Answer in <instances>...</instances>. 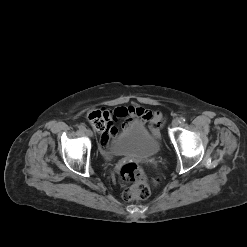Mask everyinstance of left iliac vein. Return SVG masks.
<instances>
[{"label":"left iliac vein","mask_w":247,"mask_h":247,"mask_svg":"<svg viewBox=\"0 0 247 247\" xmlns=\"http://www.w3.org/2000/svg\"><path fill=\"white\" fill-rule=\"evenodd\" d=\"M179 125V120L178 119H174L173 121H172V126L173 127H177Z\"/></svg>","instance_id":"obj_1"}]
</instances>
